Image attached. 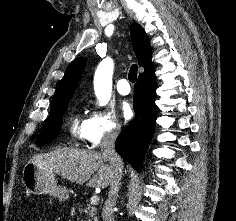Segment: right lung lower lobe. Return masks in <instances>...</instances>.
Returning <instances> with one entry per match:
<instances>
[{"label": "right lung lower lobe", "instance_id": "1", "mask_svg": "<svg viewBox=\"0 0 236 221\" xmlns=\"http://www.w3.org/2000/svg\"><path fill=\"white\" fill-rule=\"evenodd\" d=\"M156 89L154 69L139 75L138 82L134 87L136 116L118 136L115 144L117 152L136 170L142 168V162L155 128Z\"/></svg>", "mask_w": 236, "mask_h": 221}]
</instances>
